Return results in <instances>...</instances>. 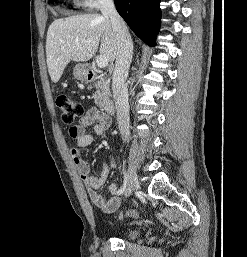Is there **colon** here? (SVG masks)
<instances>
[{
	"label": "colon",
	"instance_id": "colon-1",
	"mask_svg": "<svg viewBox=\"0 0 247 257\" xmlns=\"http://www.w3.org/2000/svg\"><path fill=\"white\" fill-rule=\"evenodd\" d=\"M56 104L60 110L61 119L67 125H73L77 118L84 115V107L82 104L67 95H59L56 98ZM124 217H138V213L134 210L127 211L121 215Z\"/></svg>",
	"mask_w": 247,
	"mask_h": 257
}]
</instances>
